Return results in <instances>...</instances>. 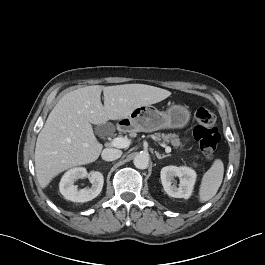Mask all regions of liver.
I'll list each match as a JSON object with an SVG mask.
<instances>
[{
  "mask_svg": "<svg viewBox=\"0 0 265 265\" xmlns=\"http://www.w3.org/2000/svg\"><path fill=\"white\" fill-rule=\"evenodd\" d=\"M104 105L101 103V92ZM171 95L145 84L93 85L65 94L50 112L35 147V171L42 188L61 172L96 161L103 149L92 124L127 118L134 109Z\"/></svg>",
  "mask_w": 265,
  "mask_h": 265,
  "instance_id": "6515ba94",
  "label": "liver"
}]
</instances>
